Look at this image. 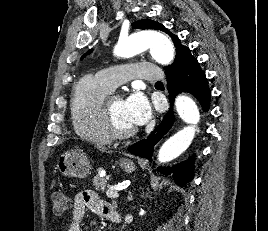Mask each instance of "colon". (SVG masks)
<instances>
[{
    "label": "colon",
    "mask_w": 268,
    "mask_h": 231,
    "mask_svg": "<svg viewBox=\"0 0 268 231\" xmlns=\"http://www.w3.org/2000/svg\"><path fill=\"white\" fill-rule=\"evenodd\" d=\"M53 210L55 213H64L70 208L69 198L60 191L52 195Z\"/></svg>",
    "instance_id": "obj_1"
}]
</instances>
